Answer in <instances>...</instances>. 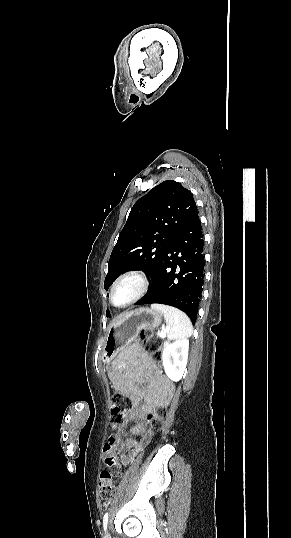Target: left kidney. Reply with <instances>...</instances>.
Here are the masks:
<instances>
[{
	"instance_id": "1",
	"label": "left kidney",
	"mask_w": 291,
	"mask_h": 538,
	"mask_svg": "<svg viewBox=\"0 0 291 538\" xmlns=\"http://www.w3.org/2000/svg\"><path fill=\"white\" fill-rule=\"evenodd\" d=\"M189 340L180 339L172 343H167L162 352V362L166 375L172 381H179L184 371L188 359Z\"/></svg>"
}]
</instances>
